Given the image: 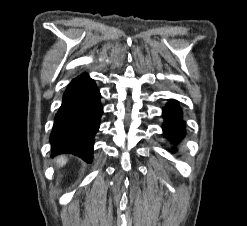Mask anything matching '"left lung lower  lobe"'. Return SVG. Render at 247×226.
<instances>
[{"instance_id":"left-lung-lower-lobe-1","label":"left lung lower lobe","mask_w":247,"mask_h":226,"mask_svg":"<svg viewBox=\"0 0 247 226\" xmlns=\"http://www.w3.org/2000/svg\"><path fill=\"white\" fill-rule=\"evenodd\" d=\"M182 111L174 100H170L163 110L165 136L172 142H179L185 135V123L180 119Z\"/></svg>"}]
</instances>
